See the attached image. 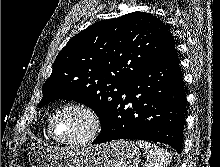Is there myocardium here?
<instances>
[{"label": "myocardium", "mask_w": 220, "mask_h": 167, "mask_svg": "<svg viewBox=\"0 0 220 167\" xmlns=\"http://www.w3.org/2000/svg\"><path fill=\"white\" fill-rule=\"evenodd\" d=\"M76 110L83 113L88 120V129L87 131L76 138L72 139H61L58 138L54 133V124L56 119L64 112ZM103 128V122L100 115L89 105L80 103V102H71L61 106L51 117L49 125H48V133L50 137L58 144L67 145V146H75L89 143L95 140L99 134L101 133Z\"/></svg>", "instance_id": "f54148a6"}]
</instances>
